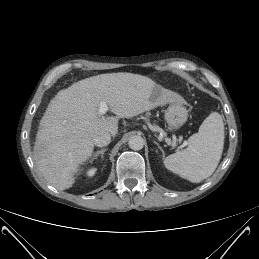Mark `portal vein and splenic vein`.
<instances>
[{"label":"portal vein and splenic vein","mask_w":259,"mask_h":259,"mask_svg":"<svg viewBox=\"0 0 259 259\" xmlns=\"http://www.w3.org/2000/svg\"><path fill=\"white\" fill-rule=\"evenodd\" d=\"M108 110H109V107H108V105L106 104V102L101 101V102H100L99 109H98V114L102 116V115L105 114ZM184 144L186 145V142H184Z\"/></svg>","instance_id":"18ae733b"}]
</instances>
